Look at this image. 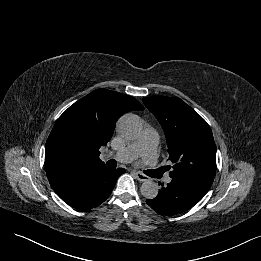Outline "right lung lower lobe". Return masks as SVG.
<instances>
[{"mask_svg": "<svg viewBox=\"0 0 261 261\" xmlns=\"http://www.w3.org/2000/svg\"><path fill=\"white\" fill-rule=\"evenodd\" d=\"M123 173V168L112 169L103 165L57 183L52 188L69 206L88 211L108 198Z\"/></svg>", "mask_w": 261, "mask_h": 261, "instance_id": "1", "label": "right lung lower lobe"}]
</instances>
